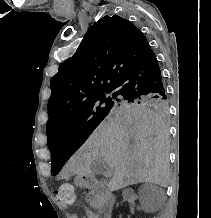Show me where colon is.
Returning a JSON list of instances; mask_svg holds the SVG:
<instances>
[{
  "instance_id": "colon-1",
  "label": "colon",
  "mask_w": 211,
  "mask_h": 218,
  "mask_svg": "<svg viewBox=\"0 0 211 218\" xmlns=\"http://www.w3.org/2000/svg\"><path fill=\"white\" fill-rule=\"evenodd\" d=\"M57 199L64 204H72L75 201V193L72 185L65 183L59 186L56 191Z\"/></svg>"
}]
</instances>
